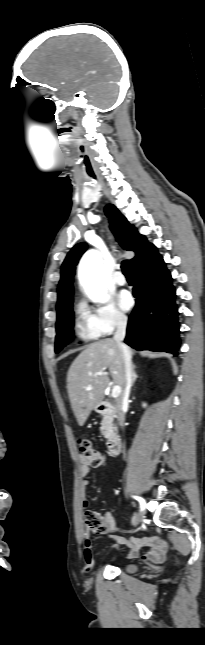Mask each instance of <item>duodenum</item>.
Wrapping results in <instances>:
<instances>
[{"mask_svg": "<svg viewBox=\"0 0 205 645\" xmlns=\"http://www.w3.org/2000/svg\"><path fill=\"white\" fill-rule=\"evenodd\" d=\"M99 413L113 418L115 416V407L109 402H102L98 406ZM107 450L111 456H116L121 450V438L117 433H111L107 439Z\"/></svg>", "mask_w": 205, "mask_h": 645, "instance_id": "obj_1", "label": "duodenum"}]
</instances>
